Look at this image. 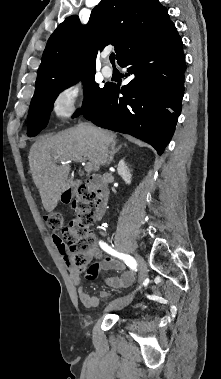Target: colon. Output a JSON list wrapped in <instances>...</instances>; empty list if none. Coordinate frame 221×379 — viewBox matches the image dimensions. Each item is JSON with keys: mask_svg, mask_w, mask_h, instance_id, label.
I'll return each instance as SVG.
<instances>
[{"mask_svg": "<svg viewBox=\"0 0 221 379\" xmlns=\"http://www.w3.org/2000/svg\"><path fill=\"white\" fill-rule=\"evenodd\" d=\"M97 199V193L85 189L76 198L72 205L75 216L67 227L63 228L61 214L52 212L44 215L43 219L51 233L58 239L59 243L66 248V244L72 254L71 261L80 271L85 272L88 264L94 258H98L100 253L94 247V236L90 231V226L94 220L93 204ZM61 230V236L56 233Z\"/></svg>", "mask_w": 221, "mask_h": 379, "instance_id": "obj_1", "label": "colon"}]
</instances>
